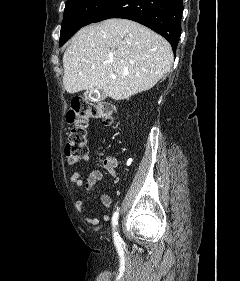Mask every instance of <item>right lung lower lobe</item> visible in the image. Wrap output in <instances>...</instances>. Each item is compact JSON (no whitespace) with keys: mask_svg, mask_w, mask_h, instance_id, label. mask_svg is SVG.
<instances>
[{"mask_svg":"<svg viewBox=\"0 0 240 281\" xmlns=\"http://www.w3.org/2000/svg\"><path fill=\"white\" fill-rule=\"evenodd\" d=\"M182 11V0H116L94 22L109 18L136 21L162 35L176 51Z\"/></svg>","mask_w":240,"mask_h":281,"instance_id":"obj_1","label":"right lung lower lobe"}]
</instances>
